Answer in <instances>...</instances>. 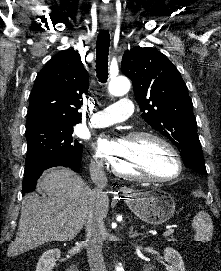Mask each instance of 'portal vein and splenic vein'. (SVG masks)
<instances>
[{"instance_id": "18ae733b", "label": "portal vein and splenic vein", "mask_w": 221, "mask_h": 271, "mask_svg": "<svg viewBox=\"0 0 221 271\" xmlns=\"http://www.w3.org/2000/svg\"><path fill=\"white\" fill-rule=\"evenodd\" d=\"M171 233H174V229H166V231H164L163 235H171Z\"/></svg>"}]
</instances>
